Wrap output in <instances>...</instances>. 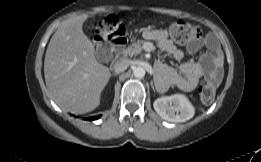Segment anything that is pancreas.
I'll return each mask as SVG.
<instances>
[{"mask_svg":"<svg viewBox=\"0 0 261 162\" xmlns=\"http://www.w3.org/2000/svg\"><path fill=\"white\" fill-rule=\"evenodd\" d=\"M144 41L138 40L137 42L132 43L130 46H128L124 51V56H135L141 53L142 51V44Z\"/></svg>","mask_w":261,"mask_h":162,"instance_id":"pancreas-1","label":"pancreas"}]
</instances>
